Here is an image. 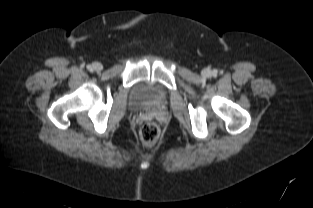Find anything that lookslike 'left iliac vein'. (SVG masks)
<instances>
[{"mask_svg":"<svg viewBox=\"0 0 313 208\" xmlns=\"http://www.w3.org/2000/svg\"><path fill=\"white\" fill-rule=\"evenodd\" d=\"M211 75V72L209 70H204L203 71V76L209 77Z\"/></svg>","mask_w":313,"mask_h":208,"instance_id":"4c4485c4","label":"left iliac vein"}]
</instances>
